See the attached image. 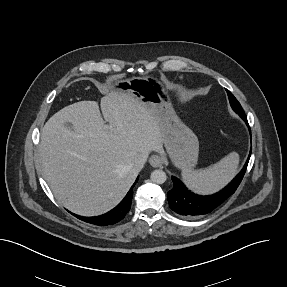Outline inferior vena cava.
<instances>
[{
  "mask_svg": "<svg viewBox=\"0 0 287 287\" xmlns=\"http://www.w3.org/2000/svg\"><path fill=\"white\" fill-rule=\"evenodd\" d=\"M145 161H146L145 156L138 155L134 160V162L132 163V168L139 172L143 168Z\"/></svg>",
  "mask_w": 287,
  "mask_h": 287,
  "instance_id": "602c4592",
  "label": "inferior vena cava"
}]
</instances>
